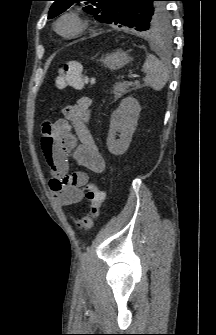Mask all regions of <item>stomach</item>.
I'll return each instance as SVG.
<instances>
[{
    "label": "stomach",
    "mask_w": 216,
    "mask_h": 335,
    "mask_svg": "<svg viewBox=\"0 0 216 335\" xmlns=\"http://www.w3.org/2000/svg\"><path fill=\"white\" fill-rule=\"evenodd\" d=\"M100 61L104 67L109 68L110 70H118L128 64L131 61V58L126 52L116 51L106 55Z\"/></svg>",
    "instance_id": "stomach-1"
}]
</instances>
